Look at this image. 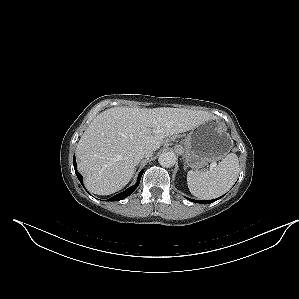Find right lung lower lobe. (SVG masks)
Listing matches in <instances>:
<instances>
[{"mask_svg":"<svg viewBox=\"0 0 299 299\" xmlns=\"http://www.w3.org/2000/svg\"><path fill=\"white\" fill-rule=\"evenodd\" d=\"M74 169H75V173L80 181V183L83 185V180H82V175L77 171L76 169V160H75V157H74ZM143 174V170L139 173V176H138V181L137 183L134 185V186H131L129 187L128 189H126L125 191L113 196L112 198L108 199L107 201H119V200H122L123 198L131 195L133 193V191L137 188V186L139 185V182H140V179H141V176ZM84 187V185H83Z\"/></svg>","mask_w":299,"mask_h":299,"instance_id":"obj_1","label":"right lung lower lobe"}]
</instances>
